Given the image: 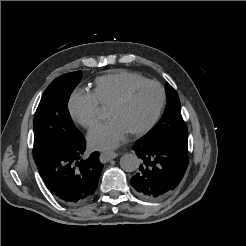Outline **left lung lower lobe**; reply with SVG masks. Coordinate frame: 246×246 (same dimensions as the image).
<instances>
[{"mask_svg": "<svg viewBox=\"0 0 246 246\" xmlns=\"http://www.w3.org/2000/svg\"><path fill=\"white\" fill-rule=\"evenodd\" d=\"M133 149L142 164L130 182L141 197L158 199L177 187L188 165L187 138L170 137L150 142L142 137Z\"/></svg>", "mask_w": 246, "mask_h": 246, "instance_id": "1", "label": "left lung lower lobe"}]
</instances>
